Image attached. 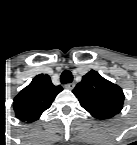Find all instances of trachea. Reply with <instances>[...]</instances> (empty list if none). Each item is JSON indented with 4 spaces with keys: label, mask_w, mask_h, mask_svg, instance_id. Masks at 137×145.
<instances>
[{
    "label": "trachea",
    "mask_w": 137,
    "mask_h": 145,
    "mask_svg": "<svg viewBox=\"0 0 137 145\" xmlns=\"http://www.w3.org/2000/svg\"><path fill=\"white\" fill-rule=\"evenodd\" d=\"M72 79H73V76H72L71 72H69L67 70L63 71V73L61 74V82L63 84L71 83Z\"/></svg>",
    "instance_id": "1"
}]
</instances>
